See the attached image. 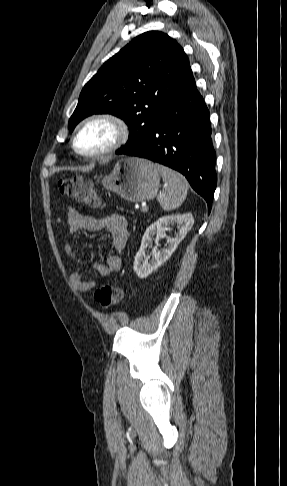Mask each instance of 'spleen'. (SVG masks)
Wrapping results in <instances>:
<instances>
[{
    "label": "spleen",
    "mask_w": 287,
    "mask_h": 486,
    "mask_svg": "<svg viewBox=\"0 0 287 486\" xmlns=\"http://www.w3.org/2000/svg\"><path fill=\"white\" fill-rule=\"evenodd\" d=\"M164 182L163 190L158 194V202L164 211H172L181 206L187 196L188 183L185 177L162 165L157 164Z\"/></svg>",
    "instance_id": "obj_1"
}]
</instances>
